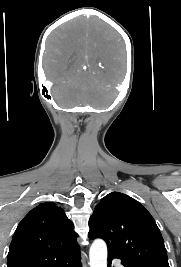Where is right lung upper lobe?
I'll list each match as a JSON object with an SVG mask.
<instances>
[{
    "label": "right lung upper lobe",
    "instance_id": "obj_1",
    "mask_svg": "<svg viewBox=\"0 0 181 267\" xmlns=\"http://www.w3.org/2000/svg\"><path fill=\"white\" fill-rule=\"evenodd\" d=\"M77 233L63 209L46 202L19 223L10 244L7 267L49 265L79 251Z\"/></svg>",
    "mask_w": 181,
    "mask_h": 267
}]
</instances>
